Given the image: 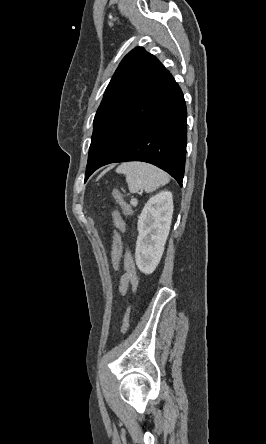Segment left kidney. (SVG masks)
<instances>
[{
    "label": "left kidney",
    "mask_w": 266,
    "mask_h": 444,
    "mask_svg": "<svg viewBox=\"0 0 266 444\" xmlns=\"http://www.w3.org/2000/svg\"><path fill=\"white\" fill-rule=\"evenodd\" d=\"M172 214V193L162 191L147 201L139 216L135 260L144 274L153 273L161 260Z\"/></svg>",
    "instance_id": "obj_1"
}]
</instances>
